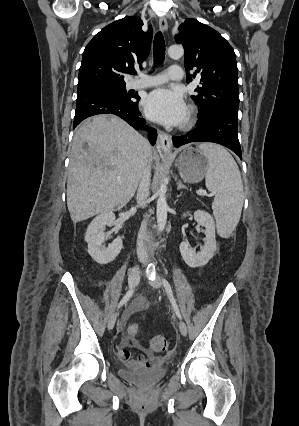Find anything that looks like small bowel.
<instances>
[{
	"instance_id": "small-bowel-1",
	"label": "small bowel",
	"mask_w": 299,
	"mask_h": 426,
	"mask_svg": "<svg viewBox=\"0 0 299 426\" xmlns=\"http://www.w3.org/2000/svg\"><path fill=\"white\" fill-rule=\"evenodd\" d=\"M147 308V303L144 299L138 298L132 305L131 311H142ZM131 347H135L143 352V355L133 356L130 351ZM119 359L126 364L130 369L137 368H154L163 363L167 356H156L148 346L135 341L126 340L123 346L117 351Z\"/></svg>"
}]
</instances>
